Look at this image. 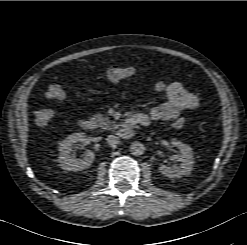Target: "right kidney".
I'll list each match as a JSON object with an SVG mask.
<instances>
[{"label": "right kidney", "instance_id": "ca27d5eb", "mask_svg": "<svg viewBox=\"0 0 247 245\" xmlns=\"http://www.w3.org/2000/svg\"><path fill=\"white\" fill-rule=\"evenodd\" d=\"M84 133H74L69 135L59 146V165L65 171H79L88 168L94 161L95 155L91 150H87L82 160H75L70 157L72 147L77 142L85 141Z\"/></svg>", "mask_w": 247, "mask_h": 245}]
</instances>
